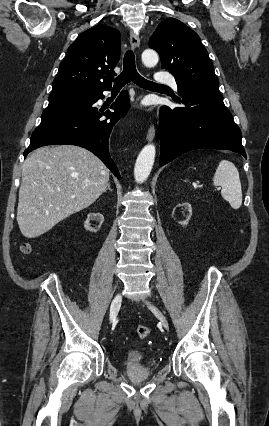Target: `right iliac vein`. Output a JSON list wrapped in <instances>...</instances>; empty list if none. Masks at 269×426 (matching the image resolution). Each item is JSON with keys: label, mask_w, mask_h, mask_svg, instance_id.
<instances>
[{"label": "right iliac vein", "mask_w": 269, "mask_h": 426, "mask_svg": "<svg viewBox=\"0 0 269 426\" xmlns=\"http://www.w3.org/2000/svg\"><path fill=\"white\" fill-rule=\"evenodd\" d=\"M121 302H122V295L119 293L115 296V298L113 299V301L111 303L110 321H112L116 317V315L119 311V308L121 306Z\"/></svg>", "instance_id": "1"}]
</instances>
